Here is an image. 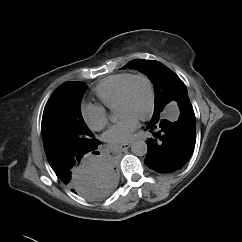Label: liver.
Wrapping results in <instances>:
<instances>
[{
    "label": "liver",
    "mask_w": 242,
    "mask_h": 242,
    "mask_svg": "<svg viewBox=\"0 0 242 242\" xmlns=\"http://www.w3.org/2000/svg\"><path fill=\"white\" fill-rule=\"evenodd\" d=\"M104 186L105 181H100L97 177L89 182H86L77 193L87 198H93L100 195Z\"/></svg>",
    "instance_id": "obj_1"
}]
</instances>
